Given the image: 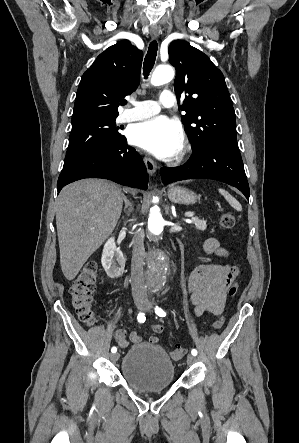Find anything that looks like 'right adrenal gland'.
I'll return each mask as SVG.
<instances>
[{
	"label": "right adrenal gland",
	"mask_w": 299,
	"mask_h": 443,
	"mask_svg": "<svg viewBox=\"0 0 299 443\" xmlns=\"http://www.w3.org/2000/svg\"><path fill=\"white\" fill-rule=\"evenodd\" d=\"M123 200H124V204H125L124 212L129 216L130 212L132 211V204L125 195H123ZM122 218L124 219V217H122Z\"/></svg>",
	"instance_id": "right-adrenal-gland-1"
}]
</instances>
